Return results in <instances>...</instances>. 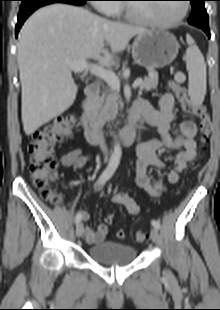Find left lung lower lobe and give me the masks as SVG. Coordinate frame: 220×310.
<instances>
[{"instance_id":"left-lung-lower-lobe-1","label":"left lung lower lobe","mask_w":220,"mask_h":310,"mask_svg":"<svg viewBox=\"0 0 220 310\" xmlns=\"http://www.w3.org/2000/svg\"><path fill=\"white\" fill-rule=\"evenodd\" d=\"M206 34L207 36L210 38V31L209 28H201Z\"/></svg>"}]
</instances>
